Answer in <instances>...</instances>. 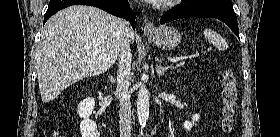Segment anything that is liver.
I'll list each match as a JSON object with an SVG mask.
<instances>
[{
	"mask_svg": "<svg viewBox=\"0 0 280 137\" xmlns=\"http://www.w3.org/2000/svg\"><path fill=\"white\" fill-rule=\"evenodd\" d=\"M125 36L123 21L87 5H73L45 24L37 51L42 101L48 103L77 81L106 72ZM129 41H134V33Z\"/></svg>",
	"mask_w": 280,
	"mask_h": 137,
	"instance_id": "obj_1",
	"label": "liver"
}]
</instances>
